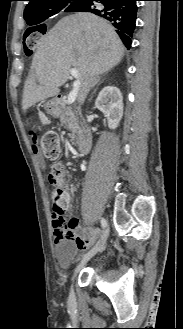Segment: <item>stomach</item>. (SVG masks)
Wrapping results in <instances>:
<instances>
[{
  "label": "stomach",
  "mask_w": 183,
  "mask_h": 329,
  "mask_svg": "<svg viewBox=\"0 0 183 329\" xmlns=\"http://www.w3.org/2000/svg\"><path fill=\"white\" fill-rule=\"evenodd\" d=\"M44 109L48 114H57L58 111L60 110L58 99H52L48 101L45 104Z\"/></svg>",
  "instance_id": "stomach-1"
}]
</instances>
